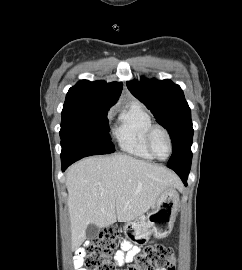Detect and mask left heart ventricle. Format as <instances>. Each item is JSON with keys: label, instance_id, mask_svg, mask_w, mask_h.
I'll list each match as a JSON object with an SVG mask.
<instances>
[{"label": "left heart ventricle", "instance_id": "left-heart-ventricle-1", "mask_svg": "<svg viewBox=\"0 0 242 270\" xmlns=\"http://www.w3.org/2000/svg\"><path fill=\"white\" fill-rule=\"evenodd\" d=\"M153 148L156 155L165 158L169 154V143L166 135L162 131H157L153 137Z\"/></svg>", "mask_w": 242, "mask_h": 270}]
</instances>
